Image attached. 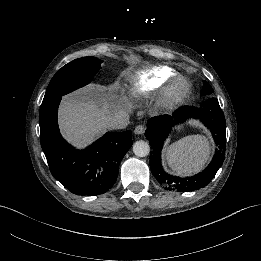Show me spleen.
<instances>
[{
  "label": "spleen",
  "instance_id": "3e777b00",
  "mask_svg": "<svg viewBox=\"0 0 261 261\" xmlns=\"http://www.w3.org/2000/svg\"><path fill=\"white\" fill-rule=\"evenodd\" d=\"M211 145L201 135L186 136L171 144L165 152L168 166L178 175H191L203 169L210 158Z\"/></svg>",
  "mask_w": 261,
  "mask_h": 261
}]
</instances>
